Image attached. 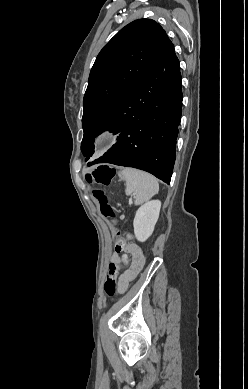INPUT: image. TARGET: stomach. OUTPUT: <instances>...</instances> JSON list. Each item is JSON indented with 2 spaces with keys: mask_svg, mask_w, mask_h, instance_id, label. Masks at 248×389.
Returning a JSON list of instances; mask_svg holds the SVG:
<instances>
[{
  "mask_svg": "<svg viewBox=\"0 0 248 389\" xmlns=\"http://www.w3.org/2000/svg\"><path fill=\"white\" fill-rule=\"evenodd\" d=\"M118 174H119L120 176H123V175L125 174V171H124L123 169H120V170L118 171Z\"/></svg>",
  "mask_w": 248,
  "mask_h": 389,
  "instance_id": "obj_1",
  "label": "stomach"
}]
</instances>
